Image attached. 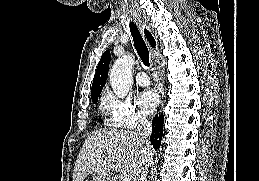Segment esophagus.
Instances as JSON below:
<instances>
[{
    "mask_svg": "<svg viewBox=\"0 0 259 181\" xmlns=\"http://www.w3.org/2000/svg\"><path fill=\"white\" fill-rule=\"evenodd\" d=\"M139 22H140L141 30H142V33L144 35V38H145L147 44L149 45L150 49L153 52H156L158 50V44H157V40H156L153 32L150 30V28L146 25L145 22H143L140 19H139Z\"/></svg>",
    "mask_w": 259,
    "mask_h": 181,
    "instance_id": "obj_1",
    "label": "esophagus"
}]
</instances>
